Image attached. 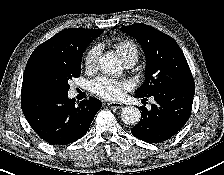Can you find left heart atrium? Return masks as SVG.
Masks as SVG:
<instances>
[{
	"mask_svg": "<svg viewBox=\"0 0 224 175\" xmlns=\"http://www.w3.org/2000/svg\"><path fill=\"white\" fill-rule=\"evenodd\" d=\"M128 89V84L107 77H101L94 80L91 84V91L108 100L118 99Z\"/></svg>",
	"mask_w": 224,
	"mask_h": 175,
	"instance_id": "1",
	"label": "left heart atrium"
}]
</instances>
